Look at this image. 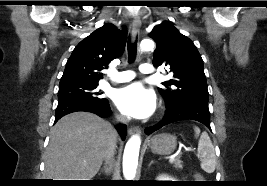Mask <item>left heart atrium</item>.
Returning <instances> with one entry per match:
<instances>
[{
	"instance_id": "1",
	"label": "left heart atrium",
	"mask_w": 267,
	"mask_h": 186,
	"mask_svg": "<svg viewBox=\"0 0 267 186\" xmlns=\"http://www.w3.org/2000/svg\"><path fill=\"white\" fill-rule=\"evenodd\" d=\"M114 100L123 114L137 119L148 118L156 108L154 92L140 83H132L117 90Z\"/></svg>"
}]
</instances>
